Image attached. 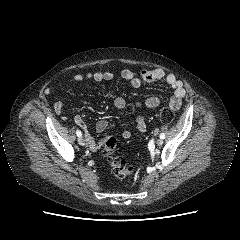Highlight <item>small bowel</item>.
<instances>
[{
    "mask_svg": "<svg viewBox=\"0 0 240 240\" xmlns=\"http://www.w3.org/2000/svg\"><path fill=\"white\" fill-rule=\"evenodd\" d=\"M121 78L128 81L132 87L138 88L144 82H156L164 80L168 86L173 89V95L169 99V108L173 111L178 110L181 107L182 100L186 94L184 89L183 83L178 80L172 74H165V72L161 69H154V70H142L139 73H136L130 69H124L121 71L120 74ZM114 78V74L110 71H85L83 73H78L73 75L72 79L74 82H82L85 80H93L96 82L102 81H110ZM160 104V98L158 96H151L146 98L143 101H138L135 103V106L138 108H148L154 109L158 107ZM114 106L119 110H124L127 107V102L122 97H117L114 100ZM64 108V104L62 101H57L54 103V111L57 114H61ZM135 124H136V131L133 132L129 129H126L122 132V137L124 139H130L133 136L141 135L146 131V121L145 118L141 115L135 116ZM74 122L84 130L86 135V140L88 147L92 151L98 150L102 145L104 140L97 142L94 138L88 133V126L83 118L79 115L74 117ZM109 127V123L107 120H99L96 124V130L99 133L105 132Z\"/></svg>",
    "mask_w": 240,
    "mask_h": 240,
    "instance_id": "c3829d8e",
    "label": "small bowel"
}]
</instances>
